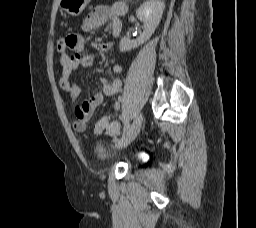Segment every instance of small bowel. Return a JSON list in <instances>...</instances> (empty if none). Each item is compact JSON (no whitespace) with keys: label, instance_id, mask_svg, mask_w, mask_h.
Returning a JSON list of instances; mask_svg holds the SVG:
<instances>
[{"label":"small bowel","instance_id":"obj_1","mask_svg":"<svg viewBox=\"0 0 256 228\" xmlns=\"http://www.w3.org/2000/svg\"><path fill=\"white\" fill-rule=\"evenodd\" d=\"M127 11V6L124 2L117 1L112 5L97 6L84 20L83 32H90L112 21L114 31L120 29L119 18ZM86 39L83 34H69L62 38V46H58L60 53L59 61L62 67V76L59 80L61 90L68 93L71 99L76 100L81 93L79 86L71 80L73 73L81 67L92 65V57L85 52ZM95 48L101 51H109L112 48L110 42H96L93 44ZM112 72L115 77L108 81L102 79L101 90L95 93L89 100L84 101L75 108L76 119L73 127L78 132H83L86 129L87 122L90 120L94 111L99 107L105 97H111L118 94L122 88V81L119 76L123 73V68L120 64L112 66ZM109 134H117L119 125L116 122H111L107 127Z\"/></svg>","mask_w":256,"mask_h":228}]
</instances>
